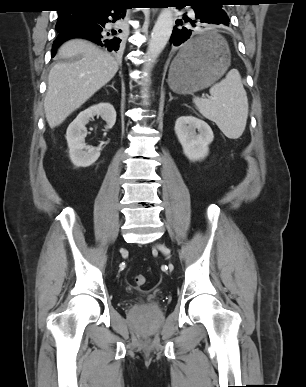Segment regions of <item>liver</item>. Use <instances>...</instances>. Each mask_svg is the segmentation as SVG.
<instances>
[{"mask_svg":"<svg viewBox=\"0 0 306 387\" xmlns=\"http://www.w3.org/2000/svg\"><path fill=\"white\" fill-rule=\"evenodd\" d=\"M66 61L53 66L44 100L47 122L59 126L117 73L114 57L89 41L71 39L58 50Z\"/></svg>","mask_w":306,"mask_h":387,"instance_id":"1","label":"liver"}]
</instances>
